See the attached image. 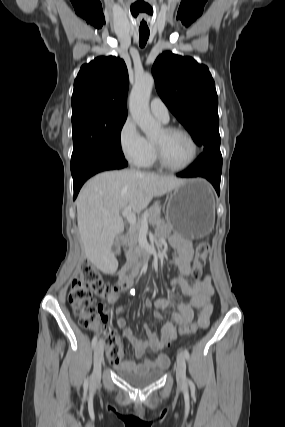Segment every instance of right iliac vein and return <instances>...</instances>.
<instances>
[{
    "label": "right iliac vein",
    "mask_w": 285,
    "mask_h": 427,
    "mask_svg": "<svg viewBox=\"0 0 285 427\" xmlns=\"http://www.w3.org/2000/svg\"><path fill=\"white\" fill-rule=\"evenodd\" d=\"M103 342L99 341L94 350V369L92 373L91 383L95 384L101 377V364L103 361Z\"/></svg>",
    "instance_id": "obj_1"
}]
</instances>
